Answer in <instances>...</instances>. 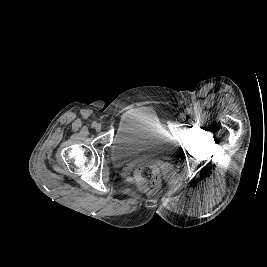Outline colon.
Returning <instances> with one entry per match:
<instances>
[{"label": "colon", "instance_id": "obj_1", "mask_svg": "<svg viewBox=\"0 0 267 267\" xmlns=\"http://www.w3.org/2000/svg\"><path fill=\"white\" fill-rule=\"evenodd\" d=\"M135 178L141 188L148 193H155L160 185L159 169L154 164H142L135 171Z\"/></svg>", "mask_w": 267, "mask_h": 267}]
</instances>
